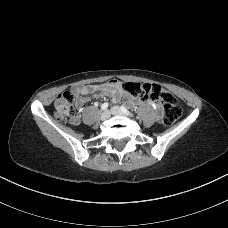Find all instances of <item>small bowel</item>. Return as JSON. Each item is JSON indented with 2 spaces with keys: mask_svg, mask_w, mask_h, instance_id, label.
<instances>
[{
  "mask_svg": "<svg viewBox=\"0 0 228 228\" xmlns=\"http://www.w3.org/2000/svg\"><path fill=\"white\" fill-rule=\"evenodd\" d=\"M72 92L76 97L77 104H83L87 102V99L84 98L85 95L94 93L96 96H109L113 102L119 101L123 96H125L124 91L122 90L121 84L117 80H111L104 84L98 85H79L72 88ZM128 102L130 104H135L136 99L128 97ZM154 107L160 108V104L157 102H151ZM77 121V118L73 120Z\"/></svg>",
  "mask_w": 228,
  "mask_h": 228,
  "instance_id": "c3829d8e",
  "label": "small bowel"
}]
</instances>
